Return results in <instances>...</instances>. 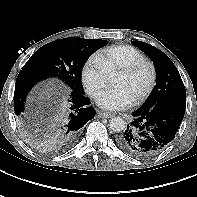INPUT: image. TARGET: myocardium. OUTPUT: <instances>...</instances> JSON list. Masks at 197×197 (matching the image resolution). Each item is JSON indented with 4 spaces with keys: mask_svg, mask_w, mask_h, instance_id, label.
<instances>
[{
    "mask_svg": "<svg viewBox=\"0 0 197 197\" xmlns=\"http://www.w3.org/2000/svg\"><path fill=\"white\" fill-rule=\"evenodd\" d=\"M144 66L148 67L150 70V80L145 90L133 100L134 104L144 101L152 93L156 85L157 70L154 63L150 60L142 59L121 69L117 73V75L132 76L136 74Z\"/></svg>",
    "mask_w": 197,
    "mask_h": 197,
    "instance_id": "obj_1",
    "label": "myocardium"
}]
</instances>
